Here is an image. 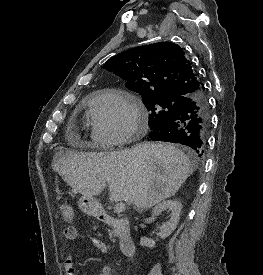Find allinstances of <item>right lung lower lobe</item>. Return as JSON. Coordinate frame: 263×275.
Returning <instances> with one entry per match:
<instances>
[{"mask_svg":"<svg viewBox=\"0 0 263 275\" xmlns=\"http://www.w3.org/2000/svg\"><path fill=\"white\" fill-rule=\"evenodd\" d=\"M209 124L208 99L204 91H200L180 112L152 129L149 137L156 141L187 145L201 156L206 146Z\"/></svg>","mask_w":263,"mask_h":275,"instance_id":"1","label":"right lung lower lobe"}]
</instances>
